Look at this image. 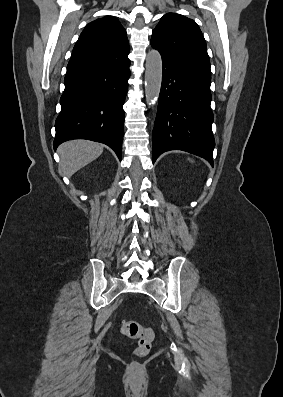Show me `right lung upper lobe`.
I'll return each mask as SVG.
<instances>
[{
    "label": "right lung upper lobe",
    "instance_id": "cb5924a9",
    "mask_svg": "<svg viewBox=\"0 0 283 397\" xmlns=\"http://www.w3.org/2000/svg\"><path fill=\"white\" fill-rule=\"evenodd\" d=\"M126 30L113 16L86 25L74 46L65 77L129 61Z\"/></svg>",
    "mask_w": 283,
    "mask_h": 397
}]
</instances>
